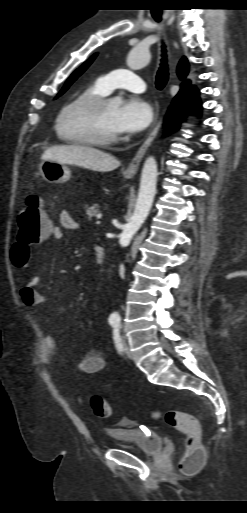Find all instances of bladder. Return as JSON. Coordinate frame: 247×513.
Wrapping results in <instances>:
<instances>
[{"instance_id": "31cf9c89", "label": "bladder", "mask_w": 247, "mask_h": 513, "mask_svg": "<svg viewBox=\"0 0 247 513\" xmlns=\"http://www.w3.org/2000/svg\"><path fill=\"white\" fill-rule=\"evenodd\" d=\"M107 435L112 438L111 448L137 451L145 455H155L163 448V438L139 428L110 429Z\"/></svg>"}]
</instances>
